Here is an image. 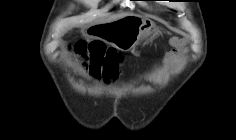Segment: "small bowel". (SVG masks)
Here are the masks:
<instances>
[{
    "instance_id": "1",
    "label": "small bowel",
    "mask_w": 236,
    "mask_h": 140,
    "mask_svg": "<svg viewBox=\"0 0 236 140\" xmlns=\"http://www.w3.org/2000/svg\"><path fill=\"white\" fill-rule=\"evenodd\" d=\"M175 49H173L170 53H168L164 57V65L170 66L172 63H174L178 59V50L177 46L179 45L178 41L173 42Z\"/></svg>"
}]
</instances>
